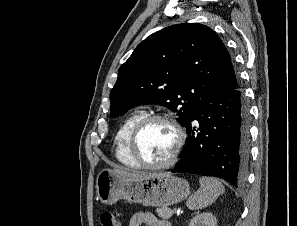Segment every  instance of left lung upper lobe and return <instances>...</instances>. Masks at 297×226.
Returning a JSON list of instances; mask_svg holds the SVG:
<instances>
[{
	"mask_svg": "<svg viewBox=\"0 0 297 226\" xmlns=\"http://www.w3.org/2000/svg\"><path fill=\"white\" fill-rule=\"evenodd\" d=\"M237 86L230 55L212 29L173 25L142 41L120 67L110 112L117 117L141 104H159L185 126L205 91Z\"/></svg>",
	"mask_w": 297,
	"mask_h": 226,
	"instance_id": "5c2ea615",
	"label": "left lung upper lobe"
}]
</instances>
